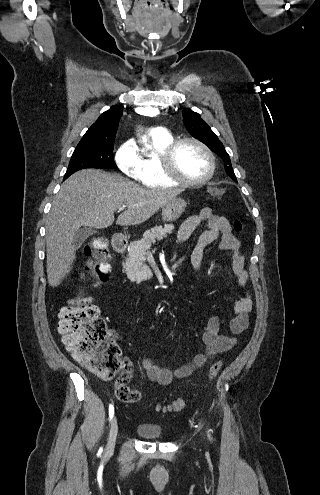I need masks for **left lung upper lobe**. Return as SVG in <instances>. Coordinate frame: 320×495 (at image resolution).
<instances>
[{
  "label": "left lung upper lobe",
  "instance_id": "left-lung-upper-lobe-1",
  "mask_svg": "<svg viewBox=\"0 0 320 495\" xmlns=\"http://www.w3.org/2000/svg\"><path fill=\"white\" fill-rule=\"evenodd\" d=\"M183 119L189 133L194 138L203 142L209 149L218 154L225 162L224 167L226 173L234 181H237L231 165L230 157L226 152L222 142L218 139L217 135L211 130V128L204 122L201 116L198 113L186 108L183 110Z\"/></svg>",
  "mask_w": 320,
  "mask_h": 495
}]
</instances>
